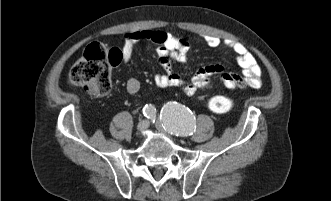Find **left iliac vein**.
Segmentation results:
<instances>
[{"instance_id": "left-iliac-vein-1", "label": "left iliac vein", "mask_w": 331, "mask_h": 201, "mask_svg": "<svg viewBox=\"0 0 331 201\" xmlns=\"http://www.w3.org/2000/svg\"><path fill=\"white\" fill-rule=\"evenodd\" d=\"M162 133H164V134H166V135L168 134V133H167L166 131H164V130H162Z\"/></svg>"}]
</instances>
